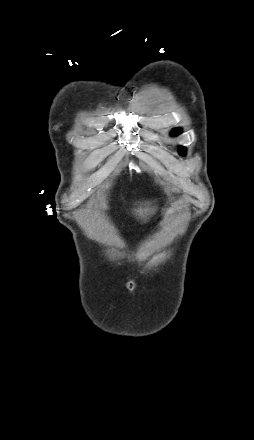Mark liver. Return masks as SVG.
Here are the masks:
<instances>
[{
    "label": "liver",
    "instance_id": "liver-1",
    "mask_svg": "<svg viewBox=\"0 0 254 440\" xmlns=\"http://www.w3.org/2000/svg\"><path fill=\"white\" fill-rule=\"evenodd\" d=\"M136 214H138V216L144 218L149 214H152L154 212L153 208H138L136 211Z\"/></svg>",
    "mask_w": 254,
    "mask_h": 440
}]
</instances>
